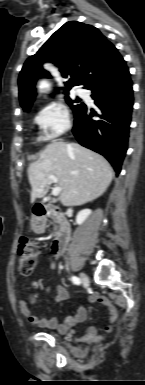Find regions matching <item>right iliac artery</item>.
Listing matches in <instances>:
<instances>
[{
    "label": "right iliac artery",
    "mask_w": 145,
    "mask_h": 385,
    "mask_svg": "<svg viewBox=\"0 0 145 385\" xmlns=\"http://www.w3.org/2000/svg\"><path fill=\"white\" fill-rule=\"evenodd\" d=\"M71 280L76 285H79L81 283L80 279L76 276H72Z\"/></svg>",
    "instance_id": "right-iliac-artery-1"
}]
</instances>
